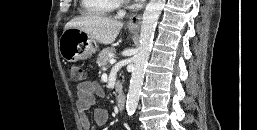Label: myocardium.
<instances>
[{
    "label": "myocardium",
    "mask_w": 257,
    "mask_h": 130,
    "mask_svg": "<svg viewBox=\"0 0 257 130\" xmlns=\"http://www.w3.org/2000/svg\"><path fill=\"white\" fill-rule=\"evenodd\" d=\"M118 5L126 3L127 0H115Z\"/></svg>",
    "instance_id": "obj_1"
}]
</instances>
